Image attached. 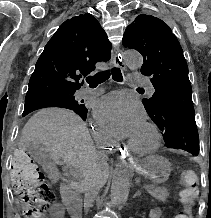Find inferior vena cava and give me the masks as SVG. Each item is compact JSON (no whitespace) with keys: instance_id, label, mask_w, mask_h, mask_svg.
<instances>
[{"instance_id":"obj_1","label":"inferior vena cava","mask_w":211,"mask_h":218,"mask_svg":"<svg viewBox=\"0 0 211 218\" xmlns=\"http://www.w3.org/2000/svg\"><path fill=\"white\" fill-rule=\"evenodd\" d=\"M100 158H106L104 154H99ZM104 178L102 176H96V174H90V172H84L83 180L81 182V188L84 192V208H91L95 198H97L100 188L104 186Z\"/></svg>"}]
</instances>
